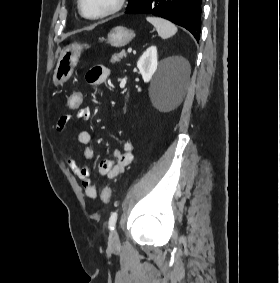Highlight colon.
<instances>
[{
  "instance_id": "obj_1",
  "label": "colon",
  "mask_w": 280,
  "mask_h": 283,
  "mask_svg": "<svg viewBox=\"0 0 280 283\" xmlns=\"http://www.w3.org/2000/svg\"><path fill=\"white\" fill-rule=\"evenodd\" d=\"M67 111L77 112L78 108H81L83 102H85V94L80 90H71L70 94H67ZM112 190L111 187L106 186L101 192V200L104 204H107L111 199Z\"/></svg>"
}]
</instances>
